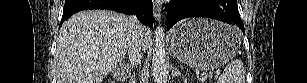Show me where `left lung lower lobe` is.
<instances>
[{"label":"left lung lower lobe","instance_id":"0a47b994","mask_svg":"<svg viewBox=\"0 0 307 83\" xmlns=\"http://www.w3.org/2000/svg\"><path fill=\"white\" fill-rule=\"evenodd\" d=\"M187 17H208L236 24L243 32L236 0H171L167 11V28Z\"/></svg>","mask_w":307,"mask_h":83}]
</instances>
